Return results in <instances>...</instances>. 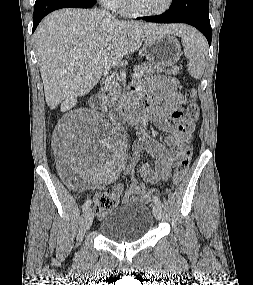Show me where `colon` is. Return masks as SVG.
Returning a JSON list of instances; mask_svg holds the SVG:
<instances>
[{
	"label": "colon",
	"instance_id": "5ec220e1",
	"mask_svg": "<svg viewBox=\"0 0 253 285\" xmlns=\"http://www.w3.org/2000/svg\"><path fill=\"white\" fill-rule=\"evenodd\" d=\"M199 115H200V108L196 101V91L192 89L190 93V102L186 107V118L190 123L195 125L199 119ZM191 159H192V148L190 147L184 152L181 160L179 161L175 169L171 184L172 187H175L182 182L189 169ZM156 192H157L156 190L151 189L148 190L147 195L152 197ZM116 203H117V198L111 191L100 193L95 197L94 200L95 208L100 215L105 214L109 209L114 207Z\"/></svg>",
	"mask_w": 253,
	"mask_h": 285
}]
</instances>
